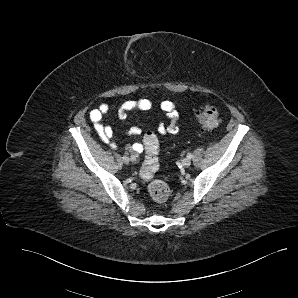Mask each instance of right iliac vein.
<instances>
[{"instance_id":"right-iliac-vein-1","label":"right iliac vein","mask_w":298,"mask_h":298,"mask_svg":"<svg viewBox=\"0 0 298 298\" xmlns=\"http://www.w3.org/2000/svg\"><path fill=\"white\" fill-rule=\"evenodd\" d=\"M122 161L125 163V164H128L130 162V158L127 157V156H123L122 157Z\"/></svg>"}]
</instances>
